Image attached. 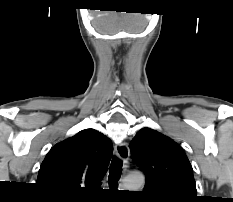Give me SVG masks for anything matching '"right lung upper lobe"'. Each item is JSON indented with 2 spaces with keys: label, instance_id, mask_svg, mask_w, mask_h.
Listing matches in <instances>:
<instances>
[{
  "label": "right lung upper lobe",
  "instance_id": "obj_1",
  "mask_svg": "<svg viewBox=\"0 0 233 202\" xmlns=\"http://www.w3.org/2000/svg\"><path fill=\"white\" fill-rule=\"evenodd\" d=\"M113 154L109 138L85 129L56 144L41 164L37 183L58 196H81L96 189Z\"/></svg>",
  "mask_w": 233,
  "mask_h": 202
}]
</instances>
